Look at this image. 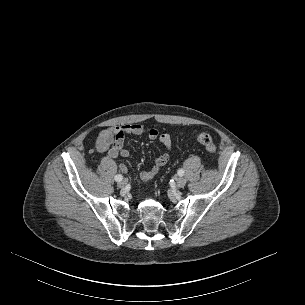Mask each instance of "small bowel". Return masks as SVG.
I'll use <instances>...</instances> for the list:
<instances>
[{"label":"small bowel","instance_id":"c3829d8e","mask_svg":"<svg viewBox=\"0 0 305 305\" xmlns=\"http://www.w3.org/2000/svg\"><path fill=\"white\" fill-rule=\"evenodd\" d=\"M185 132L177 130L175 135L180 136ZM128 135H145L150 139H158L162 144L163 149L161 153L155 158L154 165L148 170L140 173V178L143 181H149L158 173V171L165 166L170 158L172 150V138L167 133H159L155 128H149L141 124H126L121 126H112L103 129L97 137L96 148L99 152L106 153L110 158L124 157L133 159V155L127 149L123 148L124 139ZM120 169L127 172V167L120 164Z\"/></svg>","mask_w":305,"mask_h":305}]
</instances>
